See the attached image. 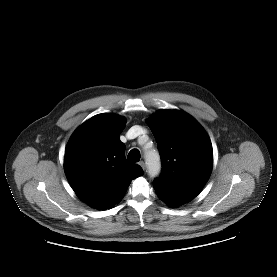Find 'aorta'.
<instances>
[{
	"instance_id": "762f6f07",
	"label": "aorta",
	"mask_w": 277,
	"mask_h": 277,
	"mask_svg": "<svg viewBox=\"0 0 277 277\" xmlns=\"http://www.w3.org/2000/svg\"><path fill=\"white\" fill-rule=\"evenodd\" d=\"M145 161L150 177H156L161 170V161L158 152L155 150L145 151Z\"/></svg>"
}]
</instances>
